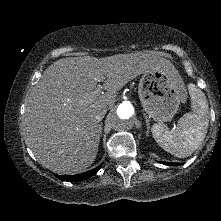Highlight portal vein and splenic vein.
<instances>
[{
    "mask_svg": "<svg viewBox=\"0 0 221 221\" xmlns=\"http://www.w3.org/2000/svg\"><path fill=\"white\" fill-rule=\"evenodd\" d=\"M103 80H104V77H101V78H99L98 81L101 82V81H103ZM101 89H102V86H101V85H97V88L90 93L89 98H90L91 100H93L94 98H96L97 96H99L100 93H101Z\"/></svg>",
    "mask_w": 221,
    "mask_h": 221,
    "instance_id": "obj_1",
    "label": "portal vein and splenic vein"
}]
</instances>
